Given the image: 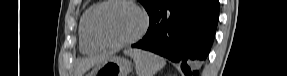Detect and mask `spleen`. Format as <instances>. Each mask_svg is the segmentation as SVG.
I'll return each mask as SVG.
<instances>
[{"mask_svg": "<svg viewBox=\"0 0 287 76\" xmlns=\"http://www.w3.org/2000/svg\"><path fill=\"white\" fill-rule=\"evenodd\" d=\"M124 53L134 60L137 76H154L166 65V61L162 57L148 51L128 49Z\"/></svg>", "mask_w": 287, "mask_h": 76, "instance_id": "3e777b00", "label": "spleen"}]
</instances>
